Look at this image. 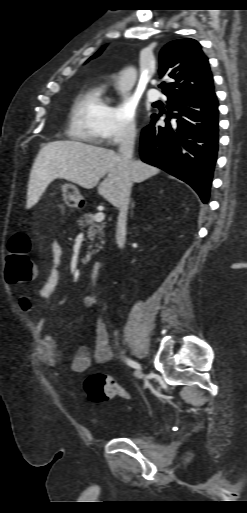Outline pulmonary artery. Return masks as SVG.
Returning a JSON list of instances; mask_svg holds the SVG:
<instances>
[{"label": "pulmonary artery", "mask_w": 247, "mask_h": 513, "mask_svg": "<svg viewBox=\"0 0 247 513\" xmlns=\"http://www.w3.org/2000/svg\"><path fill=\"white\" fill-rule=\"evenodd\" d=\"M148 99L152 102L159 100L160 93L156 89H150L147 93Z\"/></svg>", "instance_id": "e3ab8cb5"}]
</instances>
